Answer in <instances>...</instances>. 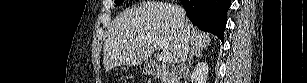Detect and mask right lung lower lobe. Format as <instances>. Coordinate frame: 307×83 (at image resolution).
<instances>
[{
	"instance_id": "1",
	"label": "right lung lower lobe",
	"mask_w": 307,
	"mask_h": 83,
	"mask_svg": "<svg viewBox=\"0 0 307 83\" xmlns=\"http://www.w3.org/2000/svg\"><path fill=\"white\" fill-rule=\"evenodd\" d=\"M190 21L200 30L224 40L226 14L231 0H181Z\"/></svg>"
}]
</instances>
